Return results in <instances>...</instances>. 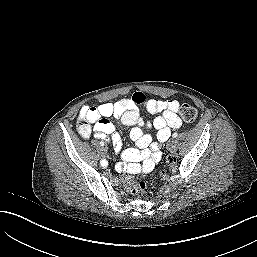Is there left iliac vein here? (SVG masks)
Returning a JSON list of instances; mask_svg holds the SVG:
<instances>
[{
	"instance_id": "obj_1",
	"label": "left iliac vein",
	"mask_w": 257,
	"mask_h": 257,
	"mask_svg": "<svg viewBox=\"0 0 257 257\" xmlns=\"http://www.w3.org/2000/svg\"><path fill=\"white\" fill-rule=\"evenodd\" d=\"M167 148L168 150L171 152V153H174L176 151V148H177V141L176 140H172L168 143L167 145Z\"/></svg>"
}]
</instances>
